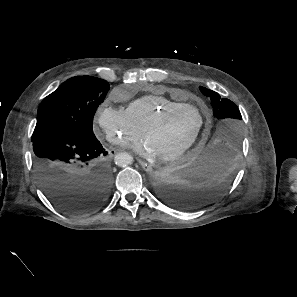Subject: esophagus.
<instances>
[{
	"label": "esophagus",
	"instance_id": "34e87169",
	"mask_svg": "<svg viewBox=\"0 0 297 297\" xmlns=\"http://www.w3.org/2000/svg\"><path fill=\"white\" fill-rule=\"evenodd\" d=\"M139 163L141 165V167L143 168V170H145L146 172H151L153 169H152V166L142 160H139Z\"/></svg>",
	"mask_w": 297,
	"mask_h": 297
}]
</instances>
